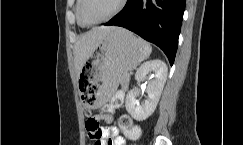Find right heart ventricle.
<instances>
[{
  "mask_svg": "<svg viewBox=\"0 0 243 145\" xmlns=\"http://www.w3.org/2000/svg\"><path fill=\"white\" fill-rule=\"evenodd\" d=\"M79 6H80V0H77L76 3V18H77V23L81 26L84 27L85 25L81 22L80 18H79Z\"/></svg>",
  "mask_w": 243,
  "mask_h": 145,
  "instance_id": "right-heart-ventricle-1",
  "label": "right heart ventricle"
}]
</instances>
